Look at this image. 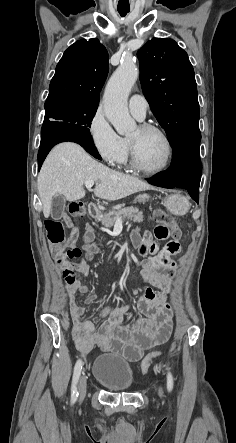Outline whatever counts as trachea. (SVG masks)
Masks as SVG:
<instances>
[{"mask_svg": "<svg viewBox=\"0 0 236 443\" xmlns=\"http://www.w3.org/2000/svg\"><path fill=\"white\" fill-rule=\"evenodd\" d=\"M118 12L122 17H124L129 12V9H118Z\"/></svg>", "mask_w": 236, "mask_h": 443, "instance_id": "3493384b", "label": "trachea"}]
</instances>
